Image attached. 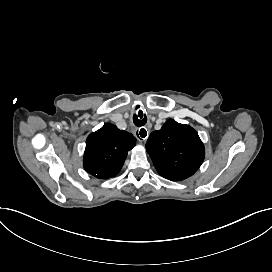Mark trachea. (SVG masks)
Instances as JSON below:
<instances>
[{"instance_id": "obj_1", "label": "trachea", "mask_w": 272, "mask_h": 272, "mask_svg": "<svg viewBox=\"0 0 272 272\" xmlns=\"http://www.w3.org/2000/svg\"><path fill=\"white\" fill-rule=\"evenodd\" d=\"M146 121H147L146 116L143 119H138V117H134V123L138 127H142L146 123ZM140 131L142 133L141 136L145 137L146 136V130L144 128H142Z\"/></svg>"}]
</instances>
